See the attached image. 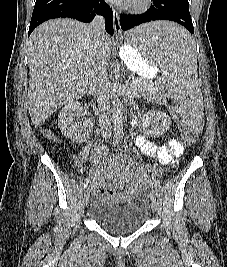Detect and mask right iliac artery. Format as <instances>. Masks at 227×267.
<instances>
[{"instance_id":"82829eb1","label":"right iliac artery","mask_w":227,"mask_h":267,"mask_svg":"<svg viewBox=\"0 0 227 267\" xmlns=\"http://www.w3.org/2000/svg\"><path fill=\"white\" fill-rule=\"evenodd\" d=\"M118 141H119V134L114 133L113 146H116V144H118ZM89 182H90V180H89V178H87L85 180V183H84V188H86L88 186Z\"/></svg>"}]
</instances>
